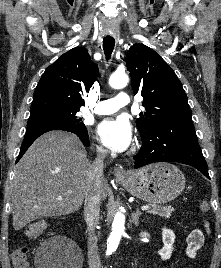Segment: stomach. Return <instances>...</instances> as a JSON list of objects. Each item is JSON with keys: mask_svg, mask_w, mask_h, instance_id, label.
Wrapping results in <instances>:
<instances>
[{"mask_svg": "<svg viewBox=\"0 0 221 268\" xmlns=\"http://www.w3.org/2000/svg\"><path fill=\"white\" fill-rule=\"evenodd\" d=\"M120 183L130 194L143 201L164 204L183 191L185 177L175 165L161 162L128 173L120 179Z\"/></svg>", "mask_w": 221, "mask_h": 268, "instance_id": "1", "label": "stomach"}]
</instances>
